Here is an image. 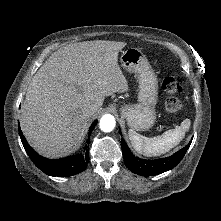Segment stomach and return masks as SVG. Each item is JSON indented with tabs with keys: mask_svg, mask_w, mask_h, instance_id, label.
Returning a JSON list of instances; mask_svg holds the SVG:
<instances>
[{
	"mask_svg": "<svg viewBox=\"0 0 221 221\" xmlns=\"http://www.w3.org/2000/svg\"><path fill=\"white\" fill-rule=\"evenodd\" d=\"M120 63L123 69L135 73L139 80L137 104H124L120 111L132 130L145 131L156 121L155 107L158 101V81L148 60L137 48L122 52Z\"/></svg>",
	"mask_w": 221,
	"mask_h": 221,
	"instance_id": "obj_1",
	"label": "stomach"
}]
</instances>
